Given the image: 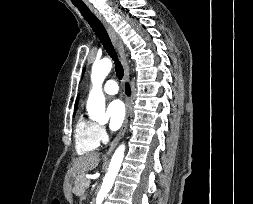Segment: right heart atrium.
<instances>
[{
  "label": "right heart atrium",
  "instance_id": "obj_1",
  "mask_svg": "<svg viewBox=\"0 0 253 204\" xmlns=\"http://www.w3.org/2000/svg\"><path fill=\"white\" fill-rule=\"evenodd\" d=\"M95 132H96V136H97L99 142L105 141L107 139V131L103 125L96 124L95 125Z\"/></svg>",
  "mask_w": 253,
  "mask_h": 204
}]
</instances>
